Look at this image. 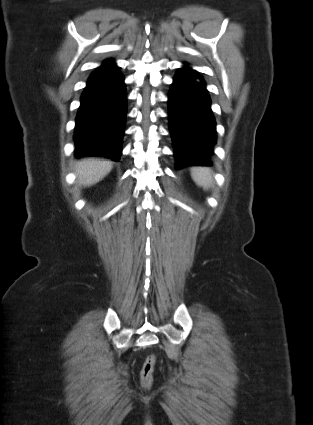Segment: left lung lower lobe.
Wrapping results in <instances>:
<instances>
[{
	"label": "left lung lower lobe",
	"instance_id": "1",
	"mask_svg": "<svg viewBox=\"0 0 313 425\" xmlns=\"http://www.w3.org/2000/svg\"><path fill=\"white\" fill-rule=\"evenodd\" d=\"M168 104L176 168L210 166L216 124L203 78L191 68L179 69Z\"/></svg>",
	"mask_w": 313,
	"mask_h": 425
}]
</instances>
